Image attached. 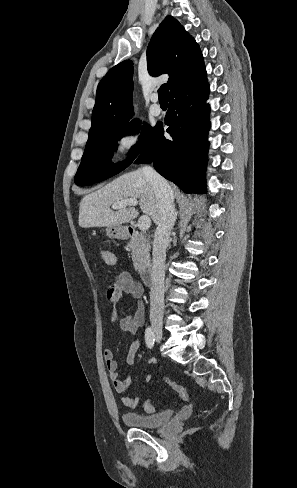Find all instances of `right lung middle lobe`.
Listing matches in <instances>:
<instances>
[{"label": "right lung middle lobe", "instance_id": "dd1d6c3e", "mask_svg": "<svg viewBox=\"0 0 297 488\" xmlns=\"http://www.w3.org/2000/svg\"><path fill=\"white\" fill-rule=\"evenodd\" d=\"M139 120L115 127L98 130L88 138L82 162L77 170L74 181L78 186L92 185L112 177L127 168L134 159L148 146L155 135L156 128L144 125L138 143L131 148L127 159L113 164L111 155L116 150V141L123 134L138 132Z\"/></svg>", "mask_w": 297, "mask_h": 488}]
</instances>
